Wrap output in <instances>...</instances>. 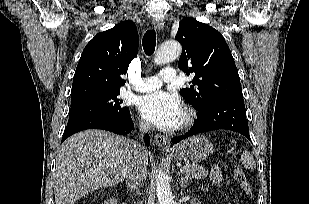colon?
<instances>
[{
  "label": "colon",
  "mask_w": 309,
  "mask_h": 204,
  "mask_svg": "<svg viewBox=\"0 0 309 204\" xmlns=\"http://www.w3.org/2000/svg\"><path fill=\"white\" fill-rule=\"evenodd\" d=\"M234 177L239 183L240 187L243 189V191L246 193L248 197L252 196V187L250 182L247 179V176L244 172V170L239 167L235 166L234 168Z\"/></svg>",
  "instance_id": "1"
}]
</instances>
